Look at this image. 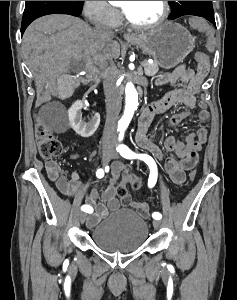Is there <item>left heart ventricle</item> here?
<instances>
[{"mask_svg":"<svg viewBox=\"0 0 237 300\" xmlns=\"http://www.w3.org/2000/svg\"><path fill=\"white\" fill-rule=\"evenodd\" d=\"M121 7L137 24L152 23L162 13L161 1H122Z\"/></svg>","mask_w":237,"mask_h":300,"instance_id":"left-heart-ventricle-1","label":"left heart ventricle"}]
</instances>
